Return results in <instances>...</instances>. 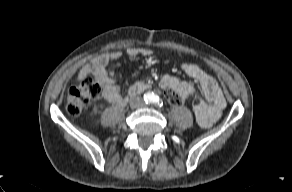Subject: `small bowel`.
Segmentation results:
<instances>
[{"label": "small bowel", "instance_id": "1", "mask_svg": "<svg viewBox=\"0 0 292 192\" xmlns=\"http://www.w3.org/2000/svg\"><path fill=\"white\" fill-rule=\"evenodd\" d=\"M126 54L130 57L139 55L149 57L153 54V51L146 47H130L126 50ZM122 55L121 51L112 52L108 56L98 59L90 68V73L98 76L104 82L102 91L104 100L117 105H123L126 102V97L122 94L114 71L109 67V64L117 61ZM181 69L189 78L200 85L206 99V101L200 100L198 103L193 104L197 122L201 127L212 126L218 121L226 106L225 97L218 83L197 64L183 63ZM160 86L165 90L166 94L173 92L181 97H186L194 92L193 86L189 82L170 75L162 78Z\"/></svg>", "mask_w": 292, "mask_h": 192}]
</instances>
